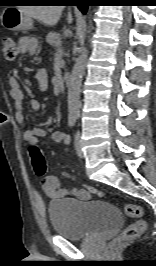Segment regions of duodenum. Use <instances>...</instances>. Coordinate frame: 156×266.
<instances>
[{
    "label": "duodenum",
    "instance_id": "obj_1",
    "mask_svg": "<svg viewBox=\"0 0 156 266\" xmlns=\"http://www.w3.org/2000/svg\"><path fill=\"white\" fill-rule=\"evenodd\" d=\"M62 80L65 85H69L71 82V75L69 73H64Z\"/></svg>",
    "mask_w": 156,
    "mask_h": 266
}]
</instances>
